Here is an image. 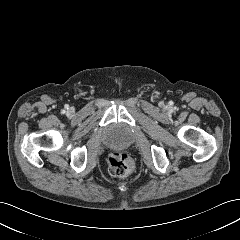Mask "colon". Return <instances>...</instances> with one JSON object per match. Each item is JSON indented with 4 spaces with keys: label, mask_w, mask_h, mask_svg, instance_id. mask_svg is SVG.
<instances>
[{
    "label": "colon",
    "mask_w": 240,
    "mask_h": 240,
    "mask_svg": "<svg viewBox=\"0 0 240 240\" xmlns=\"http://www.w3.org/2000/svg\"><path fill=\"white\" fill-rule=\"evenodd\" d=\"M108 169L110 174L115 177H127L134 172L135 162L125 152H113L108 157Z\"/></svg>",
    "instance_id": "obj_1"
}]
</instances>
